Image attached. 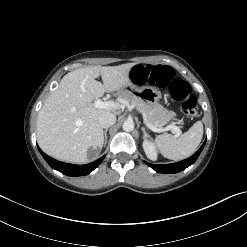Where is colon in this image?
Returning <instances> with one entry per match:
<instances>
[{
	"label": "colon",
	"mask_w": 247,
	"mask_h": 247,
	"mask_svg": "<svg viewBox=\"0 0 247 247\" xmlns=\"http://www.w3.org/2000/svg\"><path fill=\"white\" fill-rule=\"evenodd\" d=\"M131 77L137 84H152L168 88L172 99L180 102L188 117L197 115V98L191 86L181 78L175 77L174 70L166 65H136L131 69Z\"/></svg>",
	"instance_id": "obj_1"
}]
</instances>
